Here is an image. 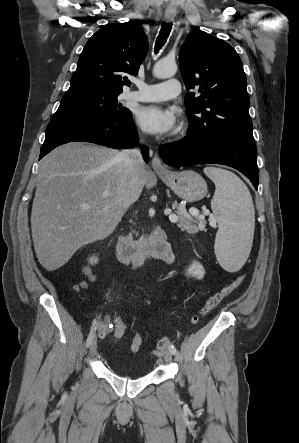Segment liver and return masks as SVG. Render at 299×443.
<instances>
[{
    "label": "liver",
    "instance_id": "6515ba94",
    "mask_svg": "<svg viewBox=\"0 0 299 443\" xmlns=\"http://www.w3.org/2000/svg\"><path fill=\"white\" fill-rule=\"evenodd\" d=\"M120 153L71 142L41 160L31 231L36 256L46 270L60 268L82 246L108 237L139 198L145 167L131 180ZM84 204L89 208H82Z\"/></svg>",
    "mask_w": 299,
    "mask_h": 443
}]
</instances>
